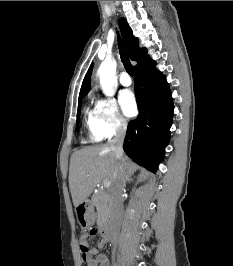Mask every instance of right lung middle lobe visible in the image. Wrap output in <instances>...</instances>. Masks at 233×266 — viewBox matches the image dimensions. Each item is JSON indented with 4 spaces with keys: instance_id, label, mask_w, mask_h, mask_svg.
Instances as JSON below:
<instances>
[{
    "instance_id": "obj_1",
    "label": "right lung middle lobe",
    "mask_w": 233,
    "mask_h": 266,
    "mask_svg": "<svg viewBox=\"0 0 233 266\" xmlns=\"http://www.w3.org/2000/svg\"><path fill=\"white\" fill-rule=\"evenodd\" d=\"M82 99L79 98V103H78V111H77V124H76V130H79V117H80V109H81V104H82Z\"/></svg>"
}]
</instances>
